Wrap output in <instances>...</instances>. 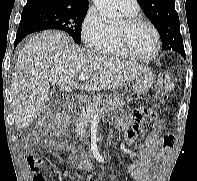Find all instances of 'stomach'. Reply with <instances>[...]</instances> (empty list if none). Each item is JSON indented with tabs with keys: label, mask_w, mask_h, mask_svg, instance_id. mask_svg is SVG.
<instances>
[{
	"label": "stomach",
	"mask_w": 197,
	"mask_h": 181,
	"mask_svg": "<svg viewBox=\"0 0 197 181\" xmlns=\"http://www.w3.org/2000/svg\"><path fill=\"white\" fill-rule=\"evenodd\" d=\"M155 74L151 70L142 72L133 82L132 91L141 95L147 93L154 85Z\"/></svg>",
	"instance_id": "stomach-1"
}]
</instances>
